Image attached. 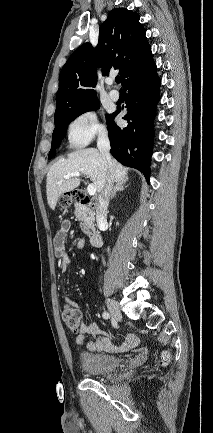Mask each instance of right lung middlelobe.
Segmentation results:
<instances>
[{
	"instance_id": "obj_1",
	"label": "right lung middle lobe",
	"mask_w": 213,
	"mask_h": 433,
	"mask_svg": "<svg viewBox=\"0 0 213 433\" xmlns=\"http://www.w3.org/2000/svg\"><path fill=\"white\" fill-rule=\"evenodd\" d=\"M99 107V101L97 98H95L79 104L75 107L69 108L62 112L60 116L54 118L55 129L52 135V145L48 155V159H51L55 156L56 148L60 146L61 140L64 137L68 124L79 115L87 111L97 110L99 109ZM109 116L110 115L107 116V119L109 118Z\"/></svg>"
}]
</instances>
